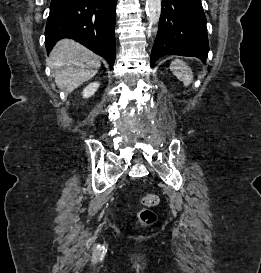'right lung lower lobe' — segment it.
Segmentation results:
<instances>
[{
  "label": "right lung lower lobe",
  "mask_w": 261,
  "mask_h": 273,
  "mask_svg": "<svg viewBox=\"0 0 261 273\" xmlns=\"http://www.w3.org/2000/svg\"><path fill=\"white\" fill-rule=\"evenodd\" d=\"M117 0H52L45 30L50 52L61 38H72L104 57L110 68L115 61Z\"/></svg>",
  "instance_id": "98d812e1"
}]
</instances>
